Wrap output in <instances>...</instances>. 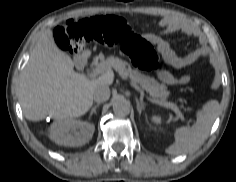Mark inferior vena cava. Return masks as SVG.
Instances as JSON below:
<instances>
[{
  "label": "inferior vena cava",
  "instance_id": "obj_1",
  "mask_svg": "<svg viewBox=\"0 0 236 182\" xmlns=\"http://www.w3.org/2000/svg\"><path fill=\"white\" fill-rule=\"evenodd\" d=\"M109 97H110V89L108 86L106 85L96 86L93 94L94 101L98 103L105 102L109 99Z\"/></svg>",
  "mask_w": 236,
  "mask_h": 182
}]
</instances>
